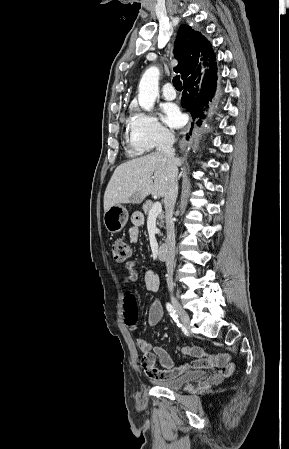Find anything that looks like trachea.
Returning <instances> with one entry per match:
<instances>
[{"label": "trachea", "mask_w": 289, "mask_h": 449, "mask_svg": "<svg viewBox=\"0 0 289 449\" xmlns=\"http://www.w3.org/2000/svg\"><path fill=\"white\" fill-rule=\"evenodd\" d=\"M173 85L177 90L182 89V82L180 80V76L177 75L173 78Z\"/></svg>", "instance_id": "trachea-1"}]
</instances>
